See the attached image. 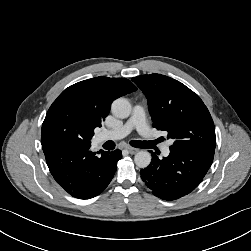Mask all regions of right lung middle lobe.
<instances>
[{"mask_svg":"<svg viewBox=\"0 0 251 251\" xmlns=\"http://www.w3.org/2000/svg\"><path fill=\"white\" fill-rule=\"evenodd\" d=\"M94 133L77 117L55 110L46 114L41 130V143L90 145Z\"/></svg>","mask_w":251,"mask_h":251,"instance_id":"right-lung-middle-lobe-1","label":"right lung middle lobe"}]
</instances>
